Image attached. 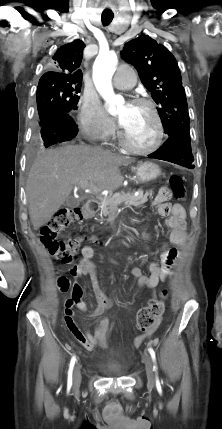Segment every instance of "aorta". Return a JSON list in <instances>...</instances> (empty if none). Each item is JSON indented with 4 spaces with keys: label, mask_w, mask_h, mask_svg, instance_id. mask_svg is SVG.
I'll return each instance as SVG.
<instances>
[{
    "label": "aorta",
    "mask_w": 222,
    "mask_h": 429,
    "mask_svg": "<svg viewBox=\"0 0 222 429\" xmlns=\"http://www.w3.org/2000/svg\"><path fill=\"white\" fill-rule=\"evenodd\" d=\"M118 59L113 51H100L93 66L95 87L108 106V111L114 113L117 105L123 103V98L115 95L112 87V77L116 70Z\"/></svg>",
    "instance_id": "762f6f07"
}]
</instances>
